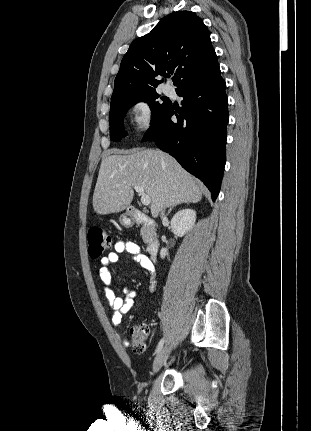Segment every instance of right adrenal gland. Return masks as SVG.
<instances>
[{
    "mask_svg": "<svg viewBox=\"0 0 311 431\" xmlns=\"http://www.w3.org/2000/svg\"><path fill=\"white\" fill-rule=\"evenodd\" d=\"M182 204H187V202H182ZM176 206H181V204H175V206H171L167 216H169L170 212H172V210H174V208H176Z\"/></svg>",
    "mask_w": 311,
    "mask_h": 431,
    "instance_id": "2a0ac1e0",
    "label": "right adrenal gland"
}]
</instances>
